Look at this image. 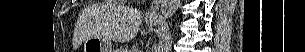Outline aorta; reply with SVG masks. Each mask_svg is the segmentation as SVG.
<instances>
[{
    "mask_svg": "<svg viewBox=\"0 0 305 52\" xmlns=\"http://www.w3.org/2000/svg\"><path fill=\"white\" fill-rule=\"evenodd\" d=\"M180 0H161V14L164 19L171 18L177 11Z\"/></svg>",
    "mask_w": 305,
    "mask_h": 52,
    "instance_id": "aorta-1",
    "label": "aorta"
}]
</instances>
